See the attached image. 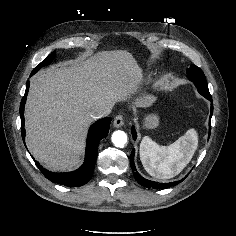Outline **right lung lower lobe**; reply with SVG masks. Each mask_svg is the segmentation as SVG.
<instances>
[{
    "instance_id": "right-lung-lower-lobe-1",
    "label": "right lung lower lobe",
    "mask_w": 236,
    "mask_h": 236,
    "mask_svg": "<svg viewBox=\"0 0 236 236\" xmlns=\"http://www.w3.org/2000/svg\"><path fill=\"white\" fill-rule=\"evenodd\" d=\"M31 75H33L31 73ZM29 90V82L26 84L25 95L20 104V117H21V133L25 144V129H24V107ZM111 118H103L93 124L88 132L86 155L84 164L76 171L68 173H54L44 169L37 161V167L43 175L50 181L68 186L78 187L86 184L92 177L94 166L97 159L98 143L101 139L107 136L109 132Z\"/></svg>"
}]
</instances>
